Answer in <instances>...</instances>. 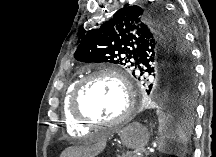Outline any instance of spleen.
Here are the masks:
<instances>
[{"mask_svg": "<svg viewBox=\"0 0 216 157\" xmlns=\"http://www.w3.org/2000/svg\"><path fill=\"white\" fill-rule=\"evenodd\" d=\"M158 116L157 149L159 152L176 157H184L187 151L188 133L182 123L161 110Z\"/></svg>", "mask_w": 216, "mask_h": 157, "instance_id": "1", "label": "spleen"}]
</instances>
